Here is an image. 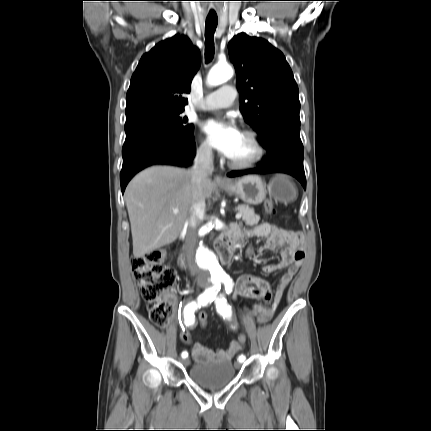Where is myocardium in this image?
<instances>
[{"mask_svg": "<svg viewBox=\"0 0 431 431\" xmlns=\"http://www.w3.org/2000/svg\"><path fill=\"white\" fill-rule=\"evenodd\" d=\"M242 135L249 138V140L251 141V143L255 149V152H254V155L252 157H250L249 159H246V160H242V161H235V160L228 158L229 166L236 168V169H245V168L253 167V166L257 165L258 163H260L266 155L265 146L262 143L259 135L255 131L250 130V129H246L242 132Z\"/></svg>", "mask_w": 431, "mask_h": 431, "instance_id": "1", "label": "myocardium"}]
</instances>
